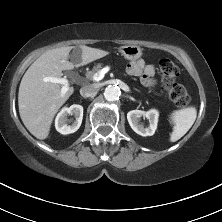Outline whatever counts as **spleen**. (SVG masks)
<instances>
[{"label":"spleen","instance_id":"3e777b00","mask_svg":"<svg viewBox=\"0 0 222 222\" xmlns=\"http://www.w3.org/2000/svg\"><path fill=\"white\" fill-rule=\"evenodd\" d=\"M196 117L197 110L193 106L173 111L170 115L171 122L174 124L170 141L176 142L183 137L194 124Z\"/></svg>","mask_w":222,"mask_h":222}]
</instances>
